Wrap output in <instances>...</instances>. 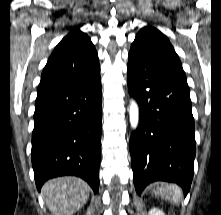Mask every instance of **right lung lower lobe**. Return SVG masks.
Wrapping results in <instances>:
<instances>
[{
  "mask_svg": "<svg viewBox=\"0 0 221 215\" xmlns=\"http://www.w3.org/2000/svg\"><path fill=\"white\" fill-rule=\"evenodd\" d=\"M100 71L35 102L31 159L38 191L48 179L74 175L99 188Z\"/></svg>",
  "mask_w": 221,
  "mask_h": 215,
  "instance_id": "1",
  "label": "right lung lower lobe"
}]
</instances>
